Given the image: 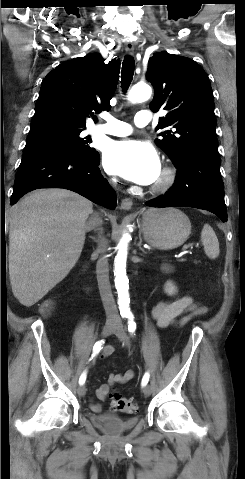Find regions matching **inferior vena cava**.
<instances>
[{"mask_svg":"<svg viewBox=\"0 0 245 479\" xmlns=\"http://www.w3.org/2000/svg\"><path fill=\"white\" fill-rule=\"evenodd\" d=\"M102 224V220L98 214H94L91 216L89 221L87 222L88 228H97ZM107 249V242L105 238L99 236L98 240V247H97V254H100V258L96 265V274H97V281L98 287L100 291V296L102 299V303L106 312L107 318H118V310L112 295L111 286L109 282V266L108 260L105 257Z\"/></svg>","mask_w":245,"mask_h":479,"instance_id":"602c4592","label":"inferior vena cava"}]
</instances>
